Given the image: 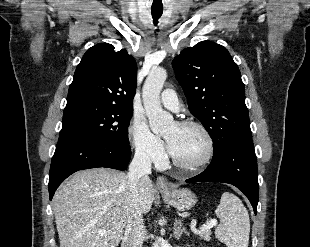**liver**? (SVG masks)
Listing matches in <instances>:
<instances>
[{
	"instance_id": "6515ba94",
	"label": "liver",
	"mask_w": 310,
	"mask_h": 247,
	"mask_svg": "<svg viewBox=\"0 0 310 247\" xmlns=\"http://www.w3.org/2000/svg\"><path fill=\"white\" fill-rule=\"evenodd\" d=\"M153 201L154 187L147 178L142 213L150 211ZM52 203L60 247H117L129 212L126 174L107 168L76 172L58 188Z\"/></svg>"
}]
</instances>
